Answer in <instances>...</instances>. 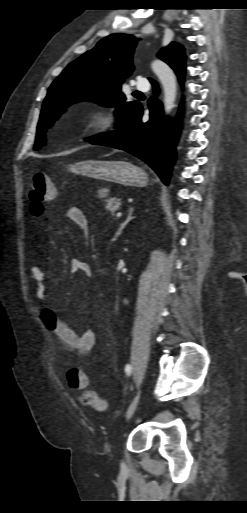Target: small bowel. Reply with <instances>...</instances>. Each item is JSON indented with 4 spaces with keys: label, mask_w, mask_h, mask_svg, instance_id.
<instances>
[{
    "label": "small bowel",
    "mask_w": 247,
    "mask_h": 513,
    "mask_svg": "<svg viewBox=\"0 0 247 513\" xmlns=\"http://www.w3.org/2000/svg\"><path fill=\"white\" fill-rule=\"evenodd\" d=\"M66 216L81 230L83 235H87L88 222L79 208L70 207ZM71 270L74 273L82 272L87 277L92 274L89 264L78 259L71 262ZM29 275L32 282L31 293L43 303L39 317L44 326L56 335L67 352L81 357L88 355L96 343V334L93 329L85 328L82 332H77L68 322L58 316V310L51 307L48 302V276L42 267L31 266Z\"/></svg>",
    "instance_id": "small-bowel-1"
}]
</instances>
